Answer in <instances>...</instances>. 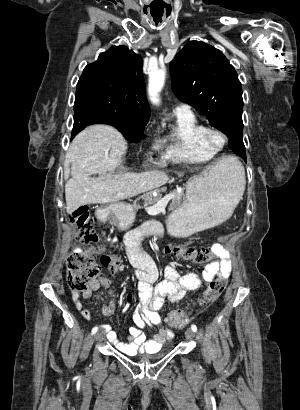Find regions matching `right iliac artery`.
I'll return each mask as SVG.
<instances>
[{
  "label": "right iliac artery",
  "instance_id": "82829eb1",
  "mask_svg": "<svg viewBox=\"0 0 300 410\" xmlns=\"http://www.w3.org/2000/svg\"><path fill=\"white\" fill-rule=\"evenodd\" d=\"M97 331H98V327H94V328L92 329V334H95Z\"/></svg>",
  "mask_w": 300,
  "mask_h": 410
}]
</instances>
